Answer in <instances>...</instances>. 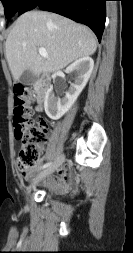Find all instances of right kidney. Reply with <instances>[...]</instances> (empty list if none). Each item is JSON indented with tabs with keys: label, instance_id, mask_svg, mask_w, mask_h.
Returning <instances> with one entry per match:
<instances>
[{
	"label": "right kidney",
	"instance_id": "ca27d5eb",
	"mask_svg": "<svg viewBox=\"0 0 133 253\" xmlns=\"http://www.w3.org/2000/svg\"><path fill=\"white\" fill-rule=\"evenodd\" d=\"M94 61L91 57H82L67 67L66 73H74V83H71L65 96H56L52 89L47 91L44 108L47 116L53 120L60 119L69 111L78 96L86 86L93 71Z\"/></svg>",
	"mask_w": 133,
	"mask_h": 253
}]
</instances>
